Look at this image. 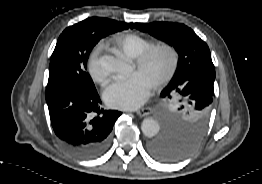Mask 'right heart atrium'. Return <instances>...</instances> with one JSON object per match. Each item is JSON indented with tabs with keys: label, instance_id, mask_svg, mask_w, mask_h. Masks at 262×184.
Segmentation results:
<instances>
[{
	"label": "right heart atrium",
	"instance_id": "obj_1",
	"mask_svg": "<svg viewBox=\"0 0 262 184\" xmlns=\"http://www.w3.org/2000/svg\"><path fill=\"white\" fill-rule=\"evenodd\" d=\"M88 73L91 79L101 86H106L111 80L112 72L108 60L100 55L98 49H95L90 55Z\"/></svg>",
	"mask_w": 262,
	"mask_h": 184
}]
</instances>
